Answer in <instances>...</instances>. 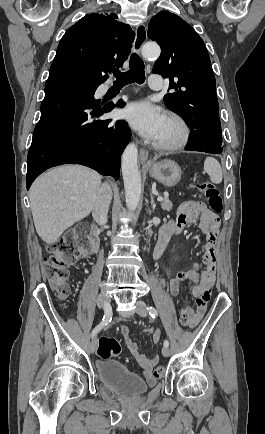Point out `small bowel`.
<instances>
[{"label": "small bowel", "instance_id": "1", "mask_svg": "<svg viewBox=\"0 0 265 434\" xmlns=\"http://www.w3.org/2000/svg\"><path fill=\"white\" fill-rule=\"evenodd\" d=\"M198 223L200 230L207 234V251L204 255L205 270L201 275H195L200 272L194 270H183L177 272L169 282V293L172 297H177L180 292L181 282L186 280H200L199 284L192 290L193 296L196 298L195 307L185 306L193 323L190 327H195L203 318L211 297V287L215 281V245L220 227V219L216 213L207 208L202 201H187L180 205L174 219L164 224L160 231L158 240H163L166 243L173 236L179 235L186 225ZM213 230V231H212ZM194 274V275H193ZM120 333L128 350L137 355L138 360L144 368V376L148 385L152 386L156 382V378L152 374V368L157 361V357L149 358L138 353V344L130 337L129 328L122 325ZM160 339L159 330H155L152 343L157 344Z\"/></svg>", "mask_w": 265, "mask_h": 434}]
</instances>
